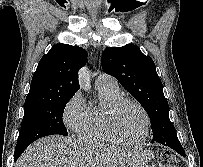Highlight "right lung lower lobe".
I'll use <instances>...</instances> for the list:
<instances>
[{
	"label": "right lung lower lobe",
	"mask_w": 203,
	"mask_h": 167,
	"mask_svg": "<svg viewBox=\"0 0 203 167\" xmlns=\"http://www.w3.org/2000/svg\"><path fill=\"white\" fill-rule=\"evenodd\" d=\"M27 148V147H26ZM26 148H23L21 150H19L18 152L15 153V157H14V160L16 161L18 159V157L22 154V152L26 149Z\"/></svg>",
	"instance_id": "right-lung-lower-lobe-1"
}]
</instances>
